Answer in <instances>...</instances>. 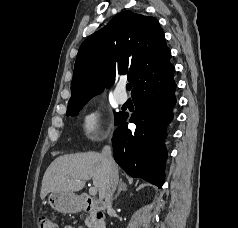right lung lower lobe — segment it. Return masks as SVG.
Masks as SVG:
<instances>
[{
	"label": "right lung lower lobe",
	"mask_w": 238,
	"mask_h": 228,
	"mask_svg": "<svg viewBox=\"0 0 238 228\" xmlns=\"http://www.w3.org/2000/svg\"><path fill=\"white\" fill-rule=\"evenodd\" d=\"M173 74L141 87L132 95L135 111L130 122L136 124V129L129 130L128 115L120 113L115 121L119 126L112 138L114 159L120 167L130 176L159 188L164 183L167 158L165 130L173 118L176 103Z\"/></svg>",
	"instance_id": "right-lung-lower-lobe-1"
}]
</instances>
